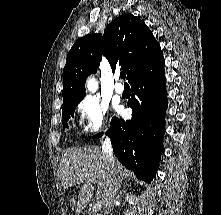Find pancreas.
Masks as SVG:
<instances>
[{
  "instance_id": "obj_1",
  "label": "pancreas",
  "mask_w": 221,
  "mask_h": 215,
  "mask_svg": "<svg viewBox=\"0 0 221 215\" xmlns=\"http://www.w3.org/2000/svg\"><path fill=\"white\" fill-rule=\"evenodd\" d=\"M92 215H100L98 210L92 209Z\"/></svg>"
}]
</instances>
